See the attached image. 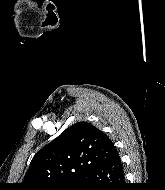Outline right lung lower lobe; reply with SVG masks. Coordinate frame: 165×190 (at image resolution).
<instances>
[{
	"instance_id": "1",
	"label": "right lung lower lobe",
	"mask_w": 165,
	"mask_h": 190,
	"mask_svg": "<svg viewBox=\"0 0 165 190\" xmlns=\"http://www.w3.org/2000/svg\"><path fill=\"white\" fill-rule=\"evenodd\" d=\"M79 190H125L123 166L119 154L85 172Z\"/></svg>"
}]
</instances>
